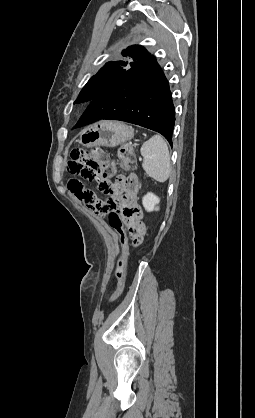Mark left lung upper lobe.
<instances>
[{
	"instance_id": "5c2ea615",
	"label": "left lung upper lobe",
	"mask_w": 255,
	"mask_h": 418,
	"mask_svg": "<svg viewBox=\"0 0 255 418\" xmlns=\"http://www.w3.org/2000/svg\"><path fill=\"white\" fill-rule=\"evenodd\" d=\"M122 55L129 59L106 63L96 75L90 78L74 102L75 104L92 101L115 83L129 68L151 56L144 47L139 45L128 47L122 52Z\"/></svg>"
}]
</instances>
